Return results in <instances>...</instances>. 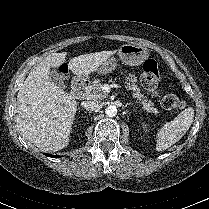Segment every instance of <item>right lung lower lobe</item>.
I'll return each mask as SVG.
<instances>
[{
  "mask_svg": "<svg viewBox=\"0 0 209 209\" xmlns=\"http://www.w3.org/2000/svg\"><path fill=\"white\" fill-rule=\"evenodd\" d=\"M45 155H46V156H49V157H54V158H56V157H57V156H55V155L46 154V153H45Z\"/></svg>",
  "mask_w": 209,
  "mask_h": 209,
  "instance_id": "right-lung-lower-lobe-1",
  "label": "right lung lower lobe"
}]
</instances>
